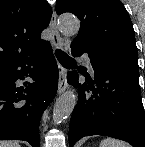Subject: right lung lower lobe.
Instances as JSON below:
<instances>
[{
	"label": "right lung lower lobe",
	"mask_w": 145,
	"mask_h": 147,
	"mask_svg": "<svg viewBox=\"0 0 145 147\" xmlns=\"http://www.w3.org/2000/svg\"><path fill=\"white\" fill-rule=\"evenodd\" d=\"M30 76L26 88L18 79ZM58 87V66L49 43L12 64L0 67V140H24L39 147V122Z\"/></svg>",
	"instance_id": "right-lung-lower-lobe-1"
}]
</instances>
